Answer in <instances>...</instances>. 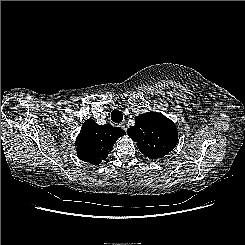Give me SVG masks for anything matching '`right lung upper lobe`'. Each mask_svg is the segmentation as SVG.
<instances>
[{"label":"right lung upper lobe","mask_w":245,"mask_h":245,"mask_svg":"<svg viewBox=\"0 0 245 245\" xmlns=\"http://www.w3.org/2000/svg\"><path fill=\"white\" fill-rule=\"evenodd\" d=\"M125 132L119 127L98 125L94 120H86L76 140L78 157L94 165L107 158L117 139Z\"/></svg>","instance_id":"obj_1"}]
</instances>
